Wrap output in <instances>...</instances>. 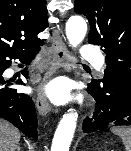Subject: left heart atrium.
I'll use <instances>...</instances> for the list:
<instances>
[{"instance_id": "39dd6f15", "label": "left heart atrium", "mask_w": 131, "mask_h": 151, "mask_svg": "<svg viewBox=\"0 0 131 151\" xmlns=\"http://www.w3.org/2000/svg\"><path fill=\"white\" fill-rule=\"evenodd\" d=\"M49 96L57 103L65 102L69 98V85L64 80H56L46 87Z\"/></svg>"}]
</instances>
